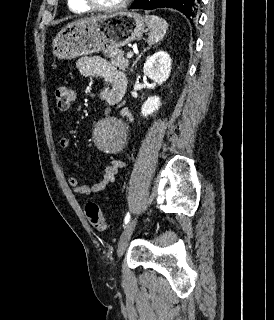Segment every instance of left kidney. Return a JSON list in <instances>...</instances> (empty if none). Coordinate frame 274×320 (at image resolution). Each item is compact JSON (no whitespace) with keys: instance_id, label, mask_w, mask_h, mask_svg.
I'll use <instances>...</instances> for the list:
<instances>
[{"instance_id":"left-kidney-1","label":"left kidney","mask_w":274,"mask_h":320,"mask_svg":"<svg viewBox=\"0 0 274 320\" xmlns=\"http://www.w3.org/2000/svg\"><path fill=\"white\" fill-rule=\"evenodd\" d=\"M171 58L167 52H156L153 56H150L146 60L143 66V72L145 76H148L150 80L156 82V84H164L168 80L171 72ZM161 106V98L159 96H150L146 102H144L141 108L142 116H152Z\"/></svg>"}]
</instances>
